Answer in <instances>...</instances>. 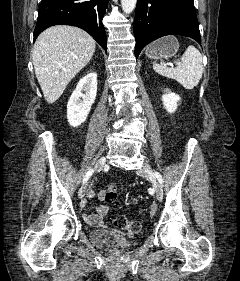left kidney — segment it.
<instances>
[{
    "instance_id": "obj_1",
    "label": "left kidney",
    "mask_w": 240,
    "mask_h": 281,
    "mask_svg": "<svg viewBox=\"0 0 240 281\" xmlns=\"http://www.w3.org/2000/svg\"><path fill=\"white\" fill-rule=\"evenodd\" d=\"M180 100L179 95L171 92L170 89L165 90V94L162 95V101L164 108L169 112L173 113L177 109V102Z\"/></svg>"
}]
</instances>
